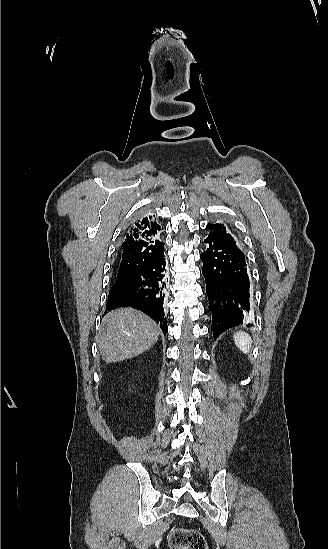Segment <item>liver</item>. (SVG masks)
<instances>
[{
    "instance_id": "obj_1",
    "label": "liver",
    "mask_w": 328,
    "mask_h": 549,
    "mask_svg": "<svg viewBox=\"0 0 328 549\" xmlns=\"http://www.w3.org/2000/svg\"><path fill=\"white\" fill-rule=\"evenodd\" d=\"M159 327L153 319L132 307L115 309L105 315L97 337L105 363L132 359L151 349L158 341Z\"/></svg>"
}]
</instances>
